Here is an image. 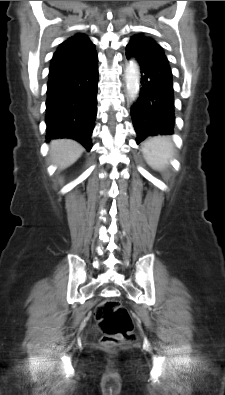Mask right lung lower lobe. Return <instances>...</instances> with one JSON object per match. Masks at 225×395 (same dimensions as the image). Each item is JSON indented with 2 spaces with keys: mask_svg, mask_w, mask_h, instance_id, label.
I'll return each instance as SVG.
<instances>
[{
  "mask_svg": "<svg viewBox=\"0 0 225 395\" xmlns=\"http://www.w3.org/2000/svg\"><path fill=\"white\" fill-rule=\"evenodd\" d=\"M98 58L76 70L49 76L46 100V140L69 138L88 151L95 125Z\"/></svg>",
  "mask_w": 225,
  "mask_h": 395,
  "instance_id": "right-lung-lower-lobe-1",
  "label": "right lung lower lobe"
}]
</instances>
